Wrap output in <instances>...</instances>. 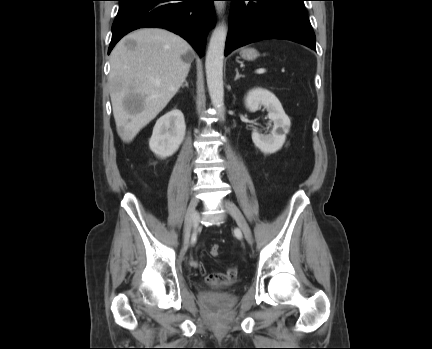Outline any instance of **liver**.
<instances>
[{
    "instance_id": "6515ba94",
    "label": "liver",
    "mask_w": 432,
    "mask_h": 349,
    "mask_svg": "<svg viewBox=\"0 0 432 349\" xmlns=\"http://www.w3.org/2000/svg\"><path fill=\"white\" fill-rule=\"evenodd\" d=\"M127 41H134L129 49ZM190 53L187 61L182 56ZM193 59L191 46L178 35L159 28L138 29L121 39L110 55V97L117 133L131 142L174 97ZM138 108L129 110L125 101Z\"/></svg>"
}]
</instances>
